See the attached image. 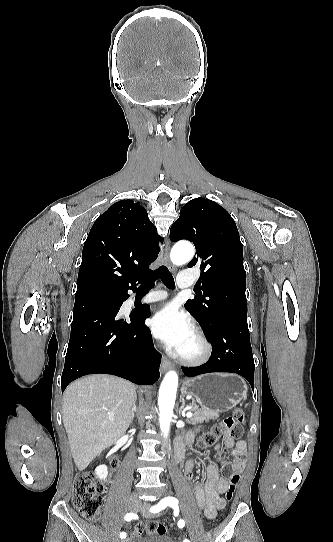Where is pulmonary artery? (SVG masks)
<instances>
[{"label":"pulmonary artery","instance_id":"e3ab8cb5","mask_svg":"<svg viewBox=\"0 0 333 542\" xmlns=\"http://www.w3.org/2000/svg\"><path fill=\"white\" fill-rule=\"evenodd\" d=\"M193 273H194V270L190 266L185 267L183 272H178L177 273V280L175 282L176 287L179 288L180 290H185V289L190 288L192 282L194 281ZM147 294H148V296L146 298L148 300L145 301V303H152V302H156V301H158L160 299H166L167 298V293L166 292H161L160 293V298H158L156 295L153 298H151L150 296L153 294L151 291H149Z\"/></svg>","mask_w":333,"mask_h":542}]
</instances>
